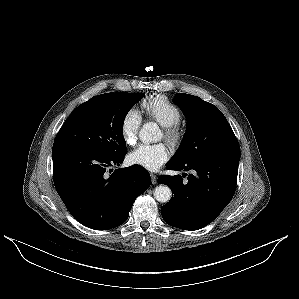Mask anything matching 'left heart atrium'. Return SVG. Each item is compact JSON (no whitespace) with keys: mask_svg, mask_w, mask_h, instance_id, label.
<instances>
[{"mask_svg":"<svg viewBox=\"0 0 299 299\" xmlns=\"http://www.w3.org/2000/svg\"><path fill=\"white\" fill-rule=\"evenodd\" d=\"M169 154V148L163 142L141 144L130 153L129 159L133 164L153 171L168 160Z\"/></svg>","mask_w":299,"mask_h":299,"instance_id":"1","label":"left heart atrium"}]
</instances>
